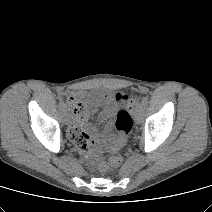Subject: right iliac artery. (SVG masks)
I'll return each instance as SVG.
<instances>
[{
	"label": "right iliac artery",
	"instance_id": "1",
	"mask_svg": "<svg viewBox=\"0 0 212 212\" xmlns=\"http://www.w3.org/2000/svg\"><path fill=\"white\" fill-rule=\"evenodd\" d=\"M59 108H60L61 111H64V108H65V104H64V102L62 101L61 98L59 99Z\"/></svg>",
	"mask_w": 212,
	"mask_h": 212
}]
</instances>
